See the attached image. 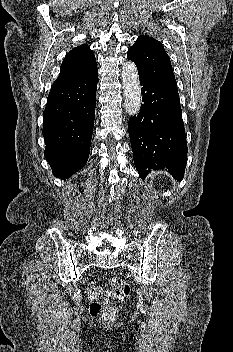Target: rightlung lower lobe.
Here are the masks:
<instances>
[{
	"mask_svg": "<svg viewBox=\"0 0 233 352\" xmlns=\"http://www.w3.org/2000/svg\"><path fill=\"white\" fill-rule=\"evenodd\" d=\"M97 79L96 68L79 79L51 87L43 112V136L44 155L55 177H71L88 160Z\"/></svg>",
	"mask_w": 233,
	"mask_h": 352,
	"instance_id": "98d812e1",
	"label": "right lung lower lobe"
}]
</instances>
